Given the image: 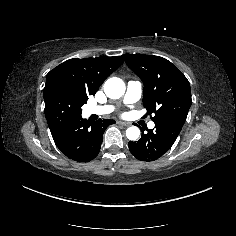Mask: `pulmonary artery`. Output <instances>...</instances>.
Returning a JSON list of instances; mask_svg holds the SVG:
<instances>
[{"label":"pulmonary artery","mask_w":236,"mask_h":236,"mask_svg":"<svg viewBox=\"0 0 236 236\" xmlns=\"http://www.w3.org/2000/svg\"><path fill=\"white\" fill-rule=\"evenodd\" d=\"M141 95H142V88L140 84L133 81L128 82L124 100L126 102H136L141 98ZM112 111H113V107L110 105L98 106L94 104H87L84 107V113L86 115L95 114V115L103 116V115H107L111 113ZM154 126H155L154 122L152 121L148 122L149 128L152 129L154 128Z\"/></svg>","instance_id":"e3ab8cb5"}]
</instances>
